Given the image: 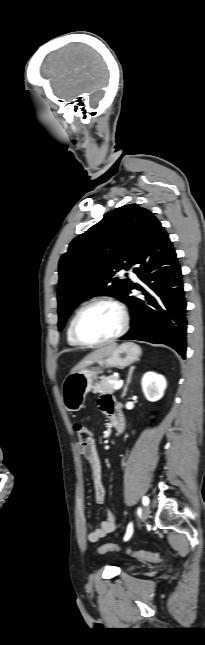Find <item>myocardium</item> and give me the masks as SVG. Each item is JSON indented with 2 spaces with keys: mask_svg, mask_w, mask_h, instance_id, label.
<instances>
[{
  "mask_svg": "<svg viewBox=\"0 0 205 645\" xmlns=\"http://www.w3.org/2000/svg\"><path fill=\"white\" fill-rule=\"evenodd\" d=\"M99 304L110 305V306L114 307L119 312L120 317H121L120 327H119V329H118V331L116 333H114L113 335H111L110 337H108L106 339L99 340V341H86L78 333V329H77L78 319H79L81 313L85 309H87L90 306L99 305ZM128 327H129V314H128V311H127L126 307L120 301H118L117 299H115L113 297H109V296L96 297V298L88 300L87 302H85L83 305H81L77 309V311L75 312V314H74V316L72 318V321H71V333H72L73 338L75 339V341L79 345H82V346H85V347H98V346H102V345L108 344L110 342H113V341L117 340L118 338H120L121 336H123L125 334V332L127 331Z\"/></svg>",
  "mask_w": 205,
  "mask_h": 645,
  "instance_id": "obj_1",
  "label": "myocardium"
}]
</instances>
